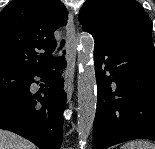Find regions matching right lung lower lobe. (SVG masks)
Masks as SVG:
<instances>
[{"mask_svg":"<svg viewBox=\"0 0 155 149\" xmlns=\"http://www.w3.org/2000/svg\"><path fill=\"white\" fill-rule=\"evenodd\" d=\"M66 61L60 58L49 68L63 69ZM30 75L29 87L20 94H0V129H6L30 140L40 149H60L62 114L66 106L61 73L50 69ZM39 76L46 80L44 97L32 95L30 85ZM51 77L52 79H47ZM41 104V107L37 106Z\"/></svg>","mask_w":155,"mask_h":149,"instance_id":"1","label":"right lung lower lobe"}]
</instances>
